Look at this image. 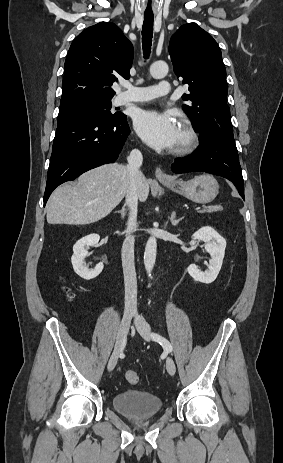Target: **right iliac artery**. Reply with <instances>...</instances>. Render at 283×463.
Wrapping results in <instances>:
<instances>
[{
	"mask_svg": "<svg viewBox=\"0 0 283 463\" xmlns=\"http://www.w3.org/2000/svg\"><path fill=\"white\" fill-rule=\"evenodd\" d=\"M125 344H126V338L123 340V343H122L123 348H124Z\"/></svg>",
	"mask_w": 283,
	"mask_h": 463,
	"instance_id": "82829eb1",
	"label": "right iliac artery"
}]
</instances>
